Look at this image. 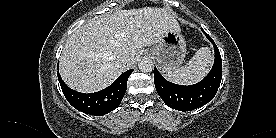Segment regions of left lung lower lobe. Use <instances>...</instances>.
<instances>
[{"label": "left lung lower lobe", "mask_w": 276, "mask_h": 138, "mask_svg": "<svg viewBox=\"0 0 276 138\" xmlns=\"http://www.w3.org/2000/svg\"><path fill=\"white\" fill-rule=\"evenodd\" d=\"M206 37L212 38L202 29ZM215 60L209 74L199 83L189 86L177 85L164 79L154 68L156 90L165 104L179 111H191L210 102L219 88L222 79V61L219 49L214 44Z\"/></svg>", "instance_id": "obj_1"}]
</instances>
